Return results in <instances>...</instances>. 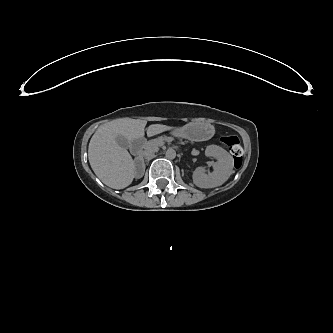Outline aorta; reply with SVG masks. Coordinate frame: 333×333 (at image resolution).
I'll return each mask as SVG.
<instances>
[{
	"mask_svg": "<svg viewBox=\"0 0 333 333\" xmlns=\"http://www.w3.org/2000/svg\"><path fill=\"white\" fill-rule=\"evenodd\" d=\"M166 158L168 159H174L176 157V153L174 150L172 149H169L166 151V154H165Z\"/></svg>",
	"mask_w": 333,
	"mask_h": 333,
	"instance_id": "1",
	"label": "aorta"
}]
</instances>
